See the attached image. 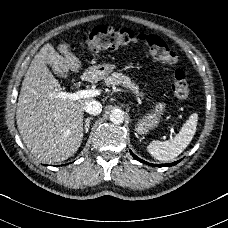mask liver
I'll return each mask as SVG.
<instances>
[{"mask_svg":"<svg viewBox=\"0 0 228 228\" xmlns=\"http://www.w3.org/2000/svg\"><path fill=\"white\" fill-rule=\"evenodd\" d=\"M60 44L55 51L44 45L35 55L22 82L17 103V127L28 150L45 163L60 162L73 156L83 139V115L88 99L71 101L58 97L59 81L49 71L78 73L81 61Z\"/></svg>","mask_w":228,"mask_h":228,"instance_id":"obj_1","label":"liver"}]
</instances>
